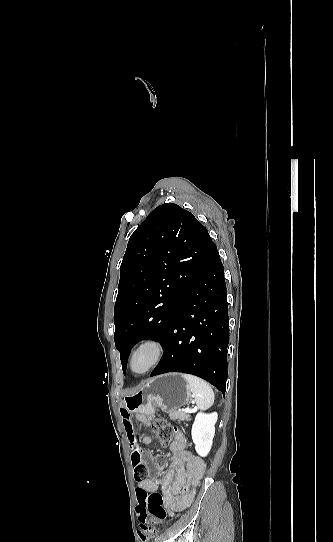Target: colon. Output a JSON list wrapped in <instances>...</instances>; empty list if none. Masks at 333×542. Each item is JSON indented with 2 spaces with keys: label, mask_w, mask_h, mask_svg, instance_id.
Instances as JSON below:
<instances>
[{
  "label": "colon",
  "mask_w": 333,
  "mask_h": 542,
  "mask_svg": "<svg viewBox=\"0 0 333 542\" xmlns=\"http://www.w3.org/2000/svg\"><path fill=\"white\" fill-rule=\"evenodd\" d=\"M151 429L158 438L159 442L168 446L172 443L173 436L176 435L181 438L184 432L181 429H177L172 423H168L162 418H157L152 421ZM185 443V439L183 440ZM135 475L141 481L149 477L152 473L151 466L148 461H142L140 463L134 462ZM137 497L139 499L138 506V519L135 517L133 520H138L140 531L149 537L156 535L158 531V525L162 523L167 517L168 513L164 506V499L159 492L148 493L143 488L137 491Z\"/></svg>",
  "instance_id": "5ec220e1"
}]
</instances>
